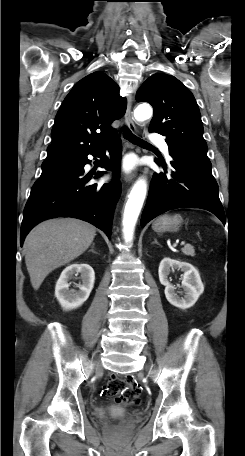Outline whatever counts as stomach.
Wrapping results in <instances>:
<instances>
[{
  "label": "stomach",
  "instance_id": "obj_1",
  "mask_svg": "<svg viewBox=\"0 0 245 456\" xmlns=\"http://www.w3.org/2000/svg\"><path fill=\"white\" fill-rule=\"evenodd\" d=\"M181 223L182 217L180 215H163L153 223L152 228L156 232L177 231Z\"/></svg>",
  "mask_w": 245,
  "mask_h": 456
}]
</instances>
